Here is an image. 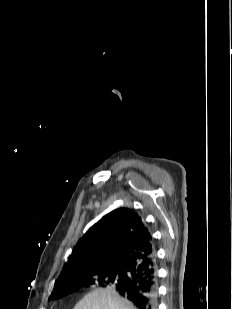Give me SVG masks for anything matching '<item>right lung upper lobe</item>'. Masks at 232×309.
Here are the masks:
<instances>
[{"label": "right lung upper lobe", "mask_w": 232, "mask_h": 309, "mask_svg": "<svg viewBox=\"0 0 232 309\" xmlns=\"http://www.w3.org/2000/svg\"><path fill=\"white\" fill-rule=\"evenodd\" d=\"M154 255L153 239L142 218L132 209L119 208L95 223L78 241L55 284L93 270L128 273Z\"/></svg>", "instance_id": "cb5924a9"}]
</instances>
